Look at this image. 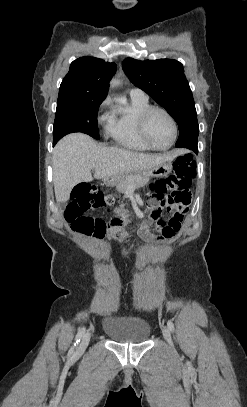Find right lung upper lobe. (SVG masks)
Listing matches in <instances>:
<instances>
[{
  "instance_id": "1",
  "label": "right lung upper lobe",
  "mask_w": 247,
  "mask_h": 407,
  "mask_svg": "<svg viewBox=\"0 0 247 407\" xmlns=\"http://www.w3.org/2000/svg\"><path fill=\"white\" fill-rule=\"evenodd\" d=\"M116 69L115 63L99 58L76 59L61 83L58 100H104Z\"/></svg>"
}]
</instances>
